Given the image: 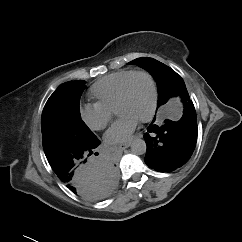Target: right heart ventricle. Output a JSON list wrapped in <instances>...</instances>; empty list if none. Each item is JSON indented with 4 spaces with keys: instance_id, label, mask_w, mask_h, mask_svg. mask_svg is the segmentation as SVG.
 Segmentation results:
<instances>
[{
    "instance_id": "obj_1",
    "label": "right heart ventricle",
    "mask_w": 242,
    "mask_h": 242,
    "mask_svg": "<svg viewBox=\"0 0 242 242\" xmlns=\"http://www.w3.org/2000/svg\"><path fill=\"white\" fill-rule=\"evenodd\" d=\"M132 72L134 70H120L99 79L90 88V95L97 100V103L115 111L121 86Z\"/></svg>"
}]
</instances>
